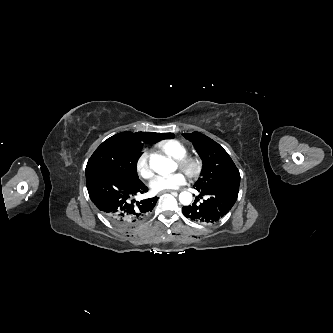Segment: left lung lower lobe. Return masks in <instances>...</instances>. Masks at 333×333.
<instances>
[{
	"label": "left lung lower lobe",
	"instance_id": "obj_1",
	"mask_svg": "<svg viewBox=\"0 0 333 333\" xmlns=\"http://www.w3.org/2000/svg\"><path fill=\"white\" fill-rule=\"evenodd\" d=\"M197 191H199L202 196L207 195L208 199L199 203V198L197 197L192 205L182 208L183 214L187 218L199 223H215L224 217L235 204L238 197L239 186L231 185L206 190L197 189ZM225 194H228V202L219 203L218 199Z\"/></svg>",
	"mask_w": 333,
	"mask_h": 333
}]
</instances>
